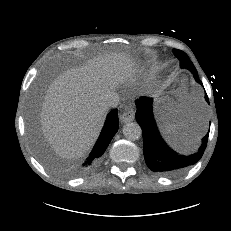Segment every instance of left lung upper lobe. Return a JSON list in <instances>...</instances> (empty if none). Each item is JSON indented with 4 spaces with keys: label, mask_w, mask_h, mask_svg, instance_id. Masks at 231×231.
<instances>
[{
    "label": "left lung upper lobe",
    "mask_w": 231,
    "mask_h": 231,
    "mask_svg": "<svg viewBox=\"0 0 231 231\" xmlns=\"http://www.w3.org/2000/svg\"><path fill=\"white\" fill-rule=\"evenodd\" d=\"M174 54L179 58L180 60V66L181 68H187L192 72L194 77H198L197 71L193 63L190 61L187 54L181 50L173 49Z\"/></svg>",
    "instance_id": "left-lung-upper-lobe-1"
}]
</instances>
